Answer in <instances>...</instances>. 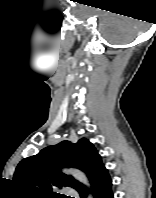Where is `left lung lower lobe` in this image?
I'll return each mask as SVG.
<instances>
[{
  "label": "left lung lower lobe",
  "mask_w": 156,
  "mask_h": 198,
  "mask_svg": "<svg viewBox=\"0 0 156 198\" xmlns=\"http://www.w3.org/2000/svg\"><path fill=\"white\" fill-rule=\"evenodd\" d=\"M112 180L108 171L103 172L100 177L92 184V194L94 198H114L112 192ZM87 190L84 189L79 192L81 198L87 197Z\"/></svg>",
  "instance_id": "obj_1"
}]
</instances>
